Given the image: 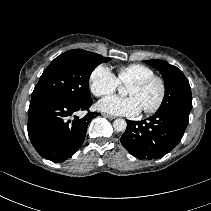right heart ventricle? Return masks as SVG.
Instances as JSON below:
<instances>
[{
	"instance_id": "obj_1",
	"label": "right heart ventricle",
	"mask_w": 211,
	"mask_h": 211,
	"mask_svg": "<svg viewBox=\"0 0 211 211\" xmlns=\"http://www.w3.org/2000/svg\"><path fill=\"white\" fill-rule=\"evenodd\" d=\"M154 75V70L144 64L133 63L121 66L117 70V79L120 84L128 85L132 82Z\"/></svg>"
}]
</instances>
